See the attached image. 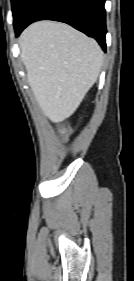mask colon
Wrapping results in <instances>:
<instances>
[{"mask_svg": "<svg viewBox=\"0 0 134 281\" xmlns=\"http://www.w3.org/2000/svg\"><path fill=\"white\" fill-rule=\"evenodd\" d=\"M63 133H66V131H65V130H63Z\"/></svg>", "mask_w": 134, "mask_h": 281, "instance_id": "colon-1", "label": "colon"}]
</instances>
